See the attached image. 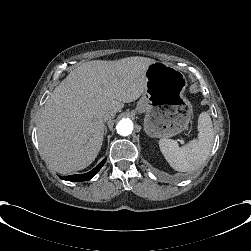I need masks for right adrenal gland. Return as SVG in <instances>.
I'll use <instances>...</instances> for the list:
<instances>
[{
	"label": "right adrenal gland",
	"instance_id": "2a0ac1e0",
	"mask_svg": "<svg viewBox=\"0 0 251 251\" xmlns=\"http://www.w3.org/2000/svg\"><path fill=\"white\" fill-rule=\"evenodd\" d=\"M106 135H107V126H105V127H104V135H103V140H104V138L106 137Z\"/></svg>",
	"mask_w": 251,
	"mask_h": 251
}]
</instances>
